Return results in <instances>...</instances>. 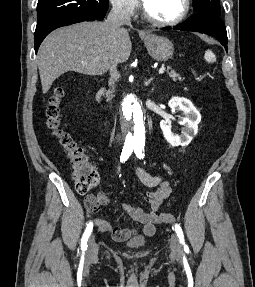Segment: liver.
Listing matches in <instances>:
<instances>
[{
  "label": "liver",
  "mask_w": 255,
  "mask_h": 287,
  "mask_svg": "<svg viewBox=\"0 0 255 287\" xmlns=\"http://www.w3.org/2000/svg\"><path fill=\"white\" fill-rule=\"evenodd\" d=\"M128 32H114L106 22H81L49 34L37 58L43 94L68 70L101 76L112 64L127 62L132 48Z\"/></svg>",
  "instance_id": "liver-1"
}]
</instances>
